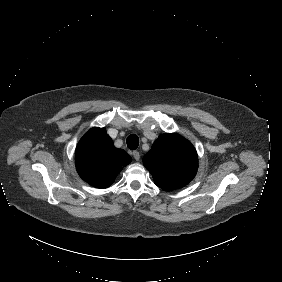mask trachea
Wrapping results in <instances>:
<instances>
[{"instance_id": "1", "label": "trachea", "mask_w": 282, "mask_h": 282, "mask_svg": "<svg viewBox=\"0 0 282 282\" xmlns=\"http://www.w3.org/2000/svg\"><path fill=\"white\" fill-rule=\"evenodd\" d=\"M126 143L130 150H135L139 146V138L137 135L131 134L127 137Z\"/></svg>"}]
</instances>
